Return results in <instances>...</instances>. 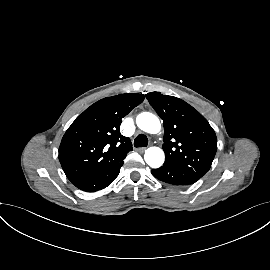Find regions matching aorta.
Listing matches in <instances>:
<instances>
[{
	"instance_id": "aorta-1",
	"label": "aorta",
	"mask_w": 270,
	"mask_h": 270,
	"mask_svg": "<svg viewBox=\"0 0 270 270\" xmlns=\"http://www.w3.org/2000/svg\"><path fill=\"white\" fill-rule=\"evenodd\" d=\"M136 124L138 128L150 134H157L161 130L158 117L149 112L137 115ZM144 159L151 168H159L164 163L165 154L159 147H150L145 151Z\"/></svg>"
}]
</instances>
